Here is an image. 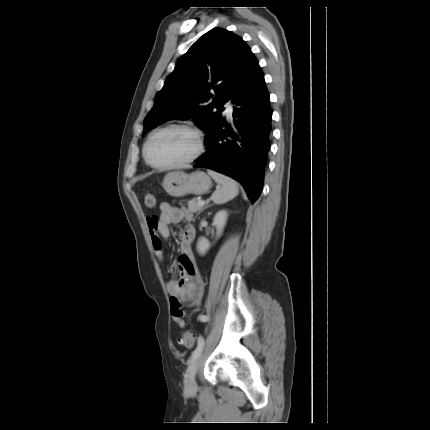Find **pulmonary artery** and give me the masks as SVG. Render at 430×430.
<instances>
[{
    "label": "pulmonary artery",
    "mask_w": 430,
    "mask_h": 430,
    "mask_svg": "<svg viewBox=\"0 0 430 430\" xmlns=\"http://www.w3.org/2000/svg\"><path fill=\"white\" fill-rule=\"evenodd\" d=\"M232 109H233L232 103H230V102L226 103V111H227V113H231Z\"/></svg>",
    "instance_id": "1"
}]
</instances>
